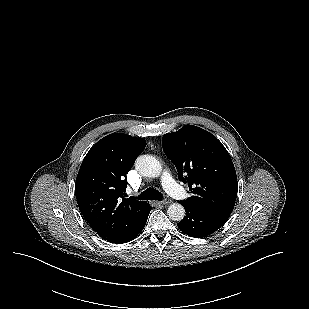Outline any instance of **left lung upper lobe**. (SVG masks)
I'll return each instance as SVG.
<instances>
[{
	"instance_id": "left-lung-upper-lobe-1",
	"label": "left lung upper lobe",
	"mask_w": 309,
	"mask_h": 309,
	"mask_svg": "<svg viewBox=\"0 0 309 309\" xmlns=\"http://www.w3.org/2000/svg\"><path fill=\"white\" fill-rule=\"evenodd\" d=\"M166 156L175 164L178 178L188 183L193 195L181 201L205 208L225 220L237 197L238 183L231 157L208 131L185 125L162 137Z\"/></svg>"
}]
</instances>
